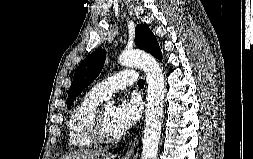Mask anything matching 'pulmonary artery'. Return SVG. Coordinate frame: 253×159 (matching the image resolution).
<instances>
[{
  "instance_id": "e3ab8cb5",
  "label": "pulmonary artery",
  "mask_w": 253,
  "mask_h": 159,
  "mask_svg": "<svg viewBox=\"0 0 253 159\" xmlns=\"http://www.w3.org/2000/svg\"><path fill=\"white\" fill-rule=\"evenodd\" d=\"M138 76L135 70L126 69L96 83L91 91L103 99H107L113 93L119 92L129 85L137 83Z\"/></svg>"
}]
</instances>
